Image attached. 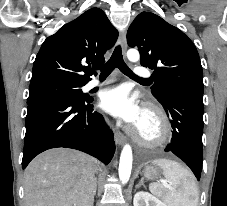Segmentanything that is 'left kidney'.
Returning <instances> with one entry per match:
<instances>
[{"mask_svg": "<svg viewBox=\"0 0 227 206\" xmlns=\"http://www.w3.org/2000/svg\"><path fill=\"white\" fill-rule=\"evenodd\" d=\"M133 204L134 206H166L154 195L143 191H139L134 195Z\"/></svg>", "mask_w": 227, "mask_h": 206, "instance_id": "obj_1", "label": "left kidney"}]
</instances>
